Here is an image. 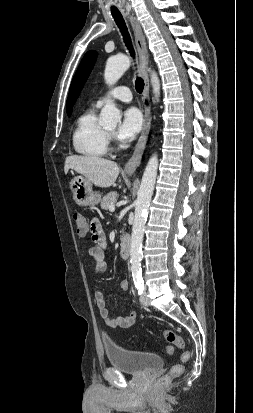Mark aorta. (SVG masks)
Wrapping results in <instances>:
<instances>
[{"label":"aorta","mask_w":253,"mask_h":413,"mask_svg":"<svg viewBox=\"0 0 253 413\" xmlns=\"http://www.w3.org/2000/svg\"><path fill=\"white\" fill-rule=\"evenodd\" d=\"M129 67L130 59L126 55L110 57L106 62L104 71V78L107 85H114ZM151 83L155 99L158 101L160 96V81L154 71L151 72ZM100 116L101 122L104 126H116L121 121V113L111 100L106 101L105 106L101 110ZM157 170L158 157L156 154H153L144 170L136 200L135 216L130 242V263L132 272H139L141 270L144 227L148 215V206L154 191Z\"/></svg>","instance_id":"762f6f07"}]
</instances>
